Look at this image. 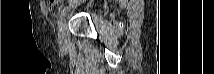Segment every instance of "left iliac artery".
<instances>
[{"label": "left iliac artery", "mask_w": 214, "mask_h": 74, "mask_svg": "<svg viewBox=\"0 0 214 74\" xmlns=\"http://www.w3.org/2000/svg\"><path fill=\"white\" fill-rule=\"evenodd\" d=\"M68 8H64L61 10L59 16H58V23L62 20V18L65 16Z\"/></svg>", "instance_id": "obj_1"}]
</instances>
